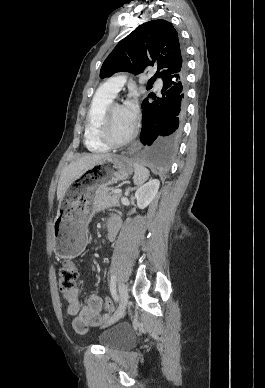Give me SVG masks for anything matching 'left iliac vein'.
Returning <instances> with one entry per match:
<instances>
[{"mask_svg":"<svg viewBox=\"0 0 265 388\" xmlns=\"http://www.w3.org/2000/svg\"><path fill=\"white\" fill-rule=\"evenodd\" d=\"M119 307L116 313L111 318L109 324H113L116 321H118L125 313L127 303H128V290L125 284L120 283L119 284Z\"/></svg>","mask_w":265,"mask_h":388,"instance_id":"obj_1","label":"left iliac vein"}]
</instances>
